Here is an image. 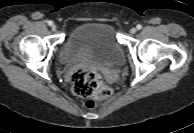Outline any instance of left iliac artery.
<instances>
[{"label":"left iliac artery","instance_id":"44dca946","mask_svg":"<svg viewBox=\"0 0 194 133\" xmlns=\"http://www.w3.org/2000/svg\"><path fill=\"white\" fill-rule=\"evenodd\" d=\"M142 26L140 24L137 25V29L140 30Z\"/></svg>","mask_w":194,"mask_h":133}]
</instances>
